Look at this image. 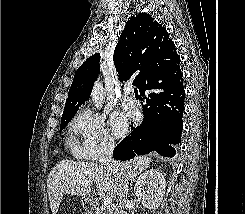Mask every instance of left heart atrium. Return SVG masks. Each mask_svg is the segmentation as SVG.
Here are the masks:
<instances>
[{"label": "left heart atrium", "mask_w": 245, "mask_h": 214, "mask_svg": "<svg viewBox=\"0 0 245 214\" xmlns=\"http://www.w3.org/2000/svg\"><path fill=\"white\" fill-rule=\"evenodd\" d=\"M111 126L117 136H122L126 133V123L118 116L111 119Z\"/></svg>", "instance_id": "left-heart-atrium-1"}]
</instances>
